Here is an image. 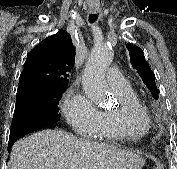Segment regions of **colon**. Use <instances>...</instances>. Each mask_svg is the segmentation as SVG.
I'll return each instance as SVG.
<instances>
[{
	"label": "colon",
	"instance_id": "obj_1",
	"mask_svg": "<svg viewBox=\"0 0 177 169\" xmlns=\"http://www.w3.org/2000/svg\"><path fill=\"white\" fill-rule=\"evenodd\" d=\"M152 169H160V168L155 167V168H152Z\"/></svg>",
	"mask_w": 177,
	"mask_h": 169
}]
</instances>
